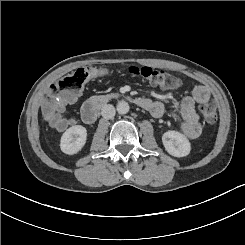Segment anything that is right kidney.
<instances>
[{"mask_svg": "<svg viewBox=\"0 0 245 245\" xmlns=\"http://www.w3.org/2000/svg\"><path fill=\"white\" fill-rule=\"evenodd\" d=\"M67 137V155L79 153L87 141V130L82 125H74L65 131Z\"/></svg>", "mask_w": 245, "mask_h": 245, "instance_id": "ca27d5eb", "label": "right kidney"}]
</instances>
